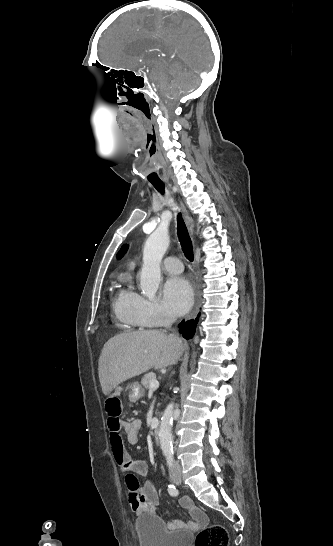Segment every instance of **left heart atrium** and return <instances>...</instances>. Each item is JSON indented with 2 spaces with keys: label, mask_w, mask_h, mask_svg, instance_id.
<instances>
[{
  "label": "left heart atrium",
  "mask_w": 333,
  "mask_h": 546,
  "mask_svg": "<svg viewBox=\"0 0 333 546\" xmlns=\"http://www.w3.org/2000/svg\"><path fill=\"white\" fill-rule=\"evenodd\" d=\"M193 292L183 277H170L163 285L162 300L165 309L172 316L184 314L191 306Z\"/></svg>",
  "instance_id": "obj_1"
}]
</instances>
